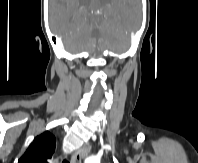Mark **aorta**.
<instances>
[{"instance_id":"obj_1","label":"aorta","mask_w":198,"mask_h":163,"mask_svg":"<svg viewBox=\"0 0 198 163\" xmlns=\"http://www.w3.org/2000/svg\"><path fill=\"white\" fill-rule=\"evenodd\" d=\"M85 163H100L96 157H89L85 160Z\"/></svg>"}]
</instances>
